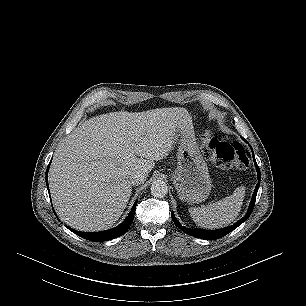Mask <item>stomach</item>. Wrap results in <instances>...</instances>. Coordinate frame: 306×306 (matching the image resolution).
Masks as SVG:
<instances>
[{
    "label": "stomach",
    "instance_id": "stomach-1",
    "mask_svg": "<svg viewBox=\"0 0 306 306\" xmlns=\"http://www.w3.org/2000/svg\"><path fill=\"white\" fill-rule=\"evenodd\" d=\"M178 144L177 168L172 175L174 187L181 200L189 204L200 203L207 199L212 184L192 123L180 128Z\"/></svg>",
    "mask_w": 306,
    "mask_h": 306
}]
</instances>
